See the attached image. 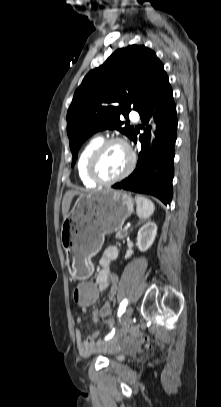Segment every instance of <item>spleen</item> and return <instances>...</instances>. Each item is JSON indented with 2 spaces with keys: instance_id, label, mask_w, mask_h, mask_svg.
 Instances as JSON below:
<instances>
[{
  "instance_id": "1",
  "label": "spleen",
  "mask_w": 221,
  "mask_h": 407,
  "mask_svg": "<svg viewBox=\"0 0 221 407\" xmlns=\"http://www.w3.org/2000/svg\"><path fill=\"white\" fill-rule=\"evenodd\" d=\"M135 202L137 205L136 213L139 218L148 219L153 214L155 205L150 199L137 195L135 196Z\"/></svg>"
}]
</instances>
